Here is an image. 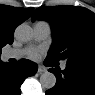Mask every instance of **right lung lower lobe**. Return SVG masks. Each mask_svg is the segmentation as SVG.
Masks as SVG:
<instances>
[{"mask_svg": "<svg viewBox=\"0 0 95 95\" xmlns=\"http://www.w3.org/2000/svg\"><path fill=\"white\" fill-rule=\"evenodd\" d=\"M37 64L23 59L16 65H3L0 61V95H20L23 81L37 72Z\"/></svg>", "mask_w": 95, "mask_h": 95, "instance_id": "obj_1", "label": "right lung lower lobe"}]
</instances>
